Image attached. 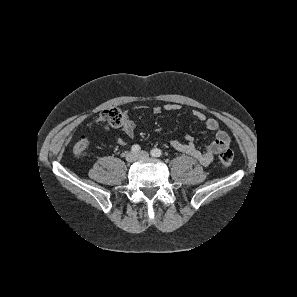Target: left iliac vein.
Listing matches in <instances>:
<instances>
[{
  "label": "left iliac vein",
  "instance_id": "obj_1",
  "mask_svg": "<svg viewBox=\"0 0 297 297\" xmlns=\"http://www.w3.org/2000/svg\"><path fill=\"white\" fill-rule=\"evenodd\" d=\"M149 156V153L146 151H141L137 154V158L141 159V158H147Z\"/></svg>",
  "mask_w": 297,
  "mask_h": 297
}]
</instances>
